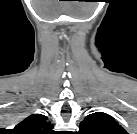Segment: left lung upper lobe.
Listing matches in <instances>:
<instances>
[{"label":"left lung upper lobe","instance_id":"obj_1","mask_svg":"<svg viewBox=\"0 0 137 134\" xmlns=\"http://www.w3.org/2000/svg\"><path fill=\"white\" fill-rule=\"evenodd\" d=\"M79 134H127L115 119L103 112L88 115L80 123Z\"/></svg>","mask_w":137,"mask_h":134}]
</instances>
